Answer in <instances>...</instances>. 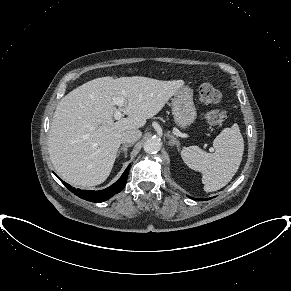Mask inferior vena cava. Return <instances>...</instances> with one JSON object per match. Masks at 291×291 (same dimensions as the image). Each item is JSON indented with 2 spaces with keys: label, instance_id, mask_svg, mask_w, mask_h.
I'll return each mask as SVG.
<instances>
[{
  "label": "inferior vena cava",
  "instance_id": "1",
  "mask_svg": "<svg viewBox=\"0 0 291 291\" xmlns=\"http://www.w3.org/2000/svg\"><path fill=\"white\" fill-rule=\"evenodd\" d=\"M141 136L142 133L139 130H128L122 133L120 140L122 143L134 144Z\"/></svg>",
  "mask_w": 291,
  "mask_h": 291
}]
</instances>
